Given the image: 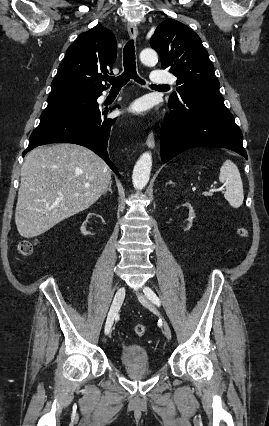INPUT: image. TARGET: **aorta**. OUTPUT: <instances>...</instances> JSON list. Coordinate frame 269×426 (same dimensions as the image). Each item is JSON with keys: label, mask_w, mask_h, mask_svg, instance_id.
<instances>
[{"label": "aorta", "mask_w": 269, "mask_h": 426, "mask_svg": "<svg viewBox=\"0 0 269 426\" xmlns=\"http://www.w3.org/2000/svg\"><path fill=\"white\" fill-rule=\"evenodd\" d=\"M140 61L147 66H154L158 62V55L153 49H144L140 53ZM152 167V155L149 152L143 153L136 162L132 183L136 190H142L148 183Z\"/></svg>", "instance_id": "aorta-1"}]
</instances>
